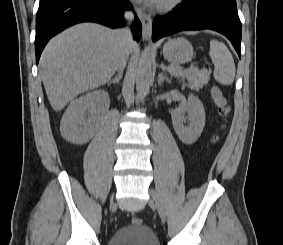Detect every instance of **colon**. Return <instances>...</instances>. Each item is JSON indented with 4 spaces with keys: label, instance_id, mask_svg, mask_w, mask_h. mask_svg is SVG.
<instances>
[{
    "label": "colon",
    "instance_id": "1",
    "mask_svg": "<svg viewBox=\"0 0 283 245\" xmlns=\"http://www.w3.org/2000/svg\"><path fill=\"white\" fill-rule=\"evenodd\" d=\"M211 96L212 99L218 109L219 114L223 117V118H227L229 113H230V107L228 105V102L226 100V98L224 97L222 91L220 90V88L218 87H213L211 90ZM218 137L215 136L212 139V142H217ZM132 223L134 225H141L142 224V219L140 217H134L132 219Z\"/></svg>",
    "mask_w": 283,
    "mask_h": 245
}]
</instances>
